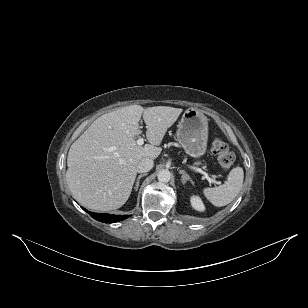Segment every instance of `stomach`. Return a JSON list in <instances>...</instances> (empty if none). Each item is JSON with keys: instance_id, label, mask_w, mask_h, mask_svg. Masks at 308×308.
<instances>
[{"instance_id": "stomach-1", "label": "stomach", "mask_w": 308, "mask_h": 308, "mask_svg": "<svg viewBox=\"0 0 308 308\" xmlns=\"http://www.w3.org/2000/svg\"><path fill=\"white\" fill-rule=\"evenodd\" d=\"M177 141L189 156H203L207 149L208 118L195 108L187 109L178 124Z\"/></svg>"}]
</instances>
